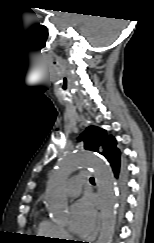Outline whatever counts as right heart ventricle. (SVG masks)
<instances>
[{
	"instance_id": "right-heart-ventricle-1",
	"label": "right heart ventricle",
	"mask_w": 154,
	"mask_h": 243,
	"mask_svg": "<svg viewBox=\"0 0 154 243\" xmlns=\"http://www.w3.org/2000/svg\"><path fill=\"white\" fill-rule=\"evenodd\" d=\"M60 226L45 217H40L37 224V233L42 237L56 240L60 235Z\"/></svg>"
}]
</instances>
